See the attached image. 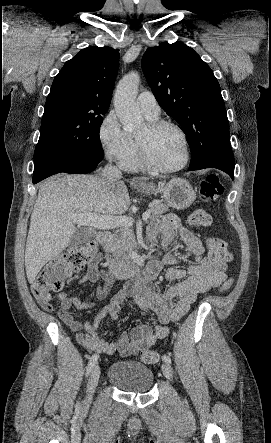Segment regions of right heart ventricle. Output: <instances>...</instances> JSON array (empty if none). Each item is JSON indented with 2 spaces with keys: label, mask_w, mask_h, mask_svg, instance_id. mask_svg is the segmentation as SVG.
Instances as JSON below:
<instances>
[{
  "label": "right heart ventricle",
  "mask_w": 271,
  "mask_h": 443,
  "mask_svg": "<svg viewBox=\"0 0 271 443\" xmlns=\"http://www.w3.org/2000/svg\"><path fill=\"white\" fill-rule=\"evenodd\" d=\"M148 119L154 120V119H157V117H151ZM130 140L132 143V151H131L129 158L125 161L123 166L128 170L137 171V170L143 168L144 165L142 164L141 159H140L138 145H137V138L130 137Z\"/></svg>",
  "instance_id": "1"
}]
</instances>
